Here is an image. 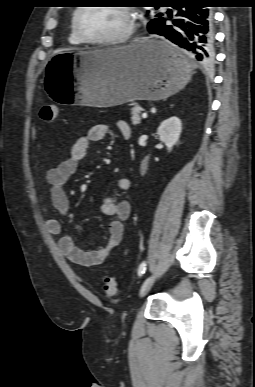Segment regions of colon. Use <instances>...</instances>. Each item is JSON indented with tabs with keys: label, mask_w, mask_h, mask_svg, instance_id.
<instances>
[{
	"label": "colon",
	"mask_w": 255,
	"mask_h": 387,
	"mask_svg": "<svg viewBox=\"0 0 255 387\" xmlns=\"http://www.w3.org/2000/svg\"><path fill=\"white\" fill-rule=\"evenodd\" d=\"M39 116L42 120L54 121L57 117V108L54 105H43ZM103 290L107 296H114L117 292V281L114 276H107L103 281Z\"/></svg>",
	"instance_id": "5ec220e1"
}]
</instances>
